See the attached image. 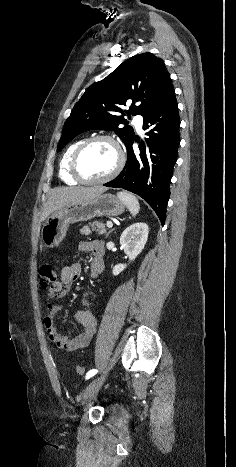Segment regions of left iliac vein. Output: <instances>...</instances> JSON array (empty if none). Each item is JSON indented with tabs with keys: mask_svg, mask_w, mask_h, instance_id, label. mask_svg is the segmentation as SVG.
Returning a JSON list of instances; mask_svg holds the SVG:
<instances>
[{
	"mask_svg": "<svg viewBox=\"0 0 236 467\" xmlns=\"http://www.w3.org/2000/svg\"><path fill=\"white\" fill-rule=\"evenodd\" d=\"M106 378V374L95 378L83 391L81 396V405L88 404L98 393Z\"/></svg>",
	"mask_w": 236,
	"mask_h": 467,
	"instance_id": "1",
	"label": "left iliac vein"
}]
</instances>
